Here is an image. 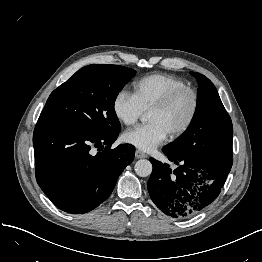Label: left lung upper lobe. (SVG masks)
<instances>
[{"label":"left lung upper lobe","mask_w":262,"mask_h":262,"mask_svg":"<svg viewBox=\"0 0 262 262\" xmlns=\"http://www.w3.org/2000/svg\"><path fill=\"white\" fill-rule=\"evenodd\" d=\"M191 74L199 84L194 117L186 132L164 149L173 155L217 166L229 152L232 154V121L213 83L202 74Z\"/></svg>","instance_id":"left-lung-upper-lobe-1"}]
</instances>
